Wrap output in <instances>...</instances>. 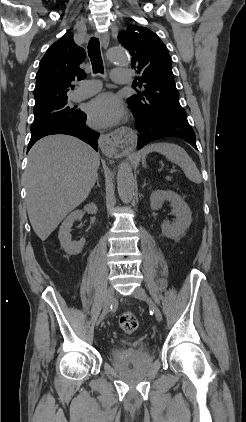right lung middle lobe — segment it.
Masks as SVG:
<instances>
[{"mask_svg":"<svg viewBox=\"0 0 246 422\" xmlns=\"http://www.w3.org/2000/svg\"><path fill=\"white\" fill-rule=\"evenodd\" d=\"M79 110L67 106V99L57 101L45 107L34 109V121L31 130L49 123L74 120L80 115Z\"/></svg>","mask_w":246,"mask_h":422,"instance_id":"right-lung-middle-lobe-1","label":"right lung middle lobe"}]
</instances>
